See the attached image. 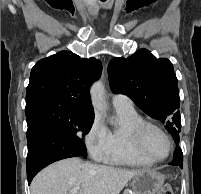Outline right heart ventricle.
<instances>
[{"label":"right heart ventricle","mask_w":201,"mask_h":194,"mask_svg":"<svg viewBox=\"0 0 201 194\" xmlns=\"http://www.w3.org/2000/svg\"><path fill=\"white\" fill-rule=\"evenodd\" d=\"M116 120L106 127L107 146L102 159L116 165L150 166L153 163L145 159L136 149L134 131L143 118L132 108L115 107Z\"/></svg>","instance_id":"e07e8e85"}]
</instances>
